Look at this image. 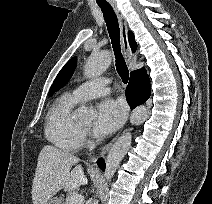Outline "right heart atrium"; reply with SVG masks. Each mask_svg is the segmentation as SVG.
I'll return each instance as SVG.
<instances>
[{
  "label": "right heart atrium",
  "mask_w": 212,
  "mask_h": 204,
  "mask_svg": "<svg viewBox=\"0 0 212 204\" xmlns=\"http://www.w3.org/2000/svg\"><path fill=\"white\" fill-rule=\"evenodd\" d=\"M89 139H88V135L86 132L82 133V137H81V145H86L88 143Z\"/></svg>",
  "instance_id": "1"
}]
</instances>
